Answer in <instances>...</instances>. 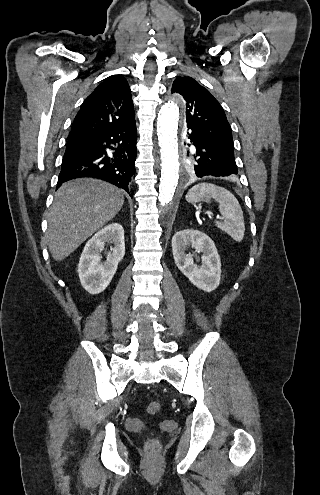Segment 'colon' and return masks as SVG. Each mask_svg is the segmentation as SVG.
<instances>
[{"instance_id":"1","label":"colon","mask_w":320,"mask_h":495,"mask_svg":"<svg viewBox=\"0 0 320 495\" xmlns=\"http://www.w3.org/2000/svg\"><path fill=\"white\" fill-rule=\"evenodd\" d=\"M161 410V404L158 401H152L147 405V412L150 415H157ZM147 450L154 452L159 447V441L157 439H149L147 442Z\"/></svg>"}]
</instances>
